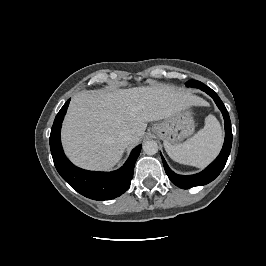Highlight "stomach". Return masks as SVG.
<instances>
[{
	"label": "stomach",
	"mask_w": 266,
	"mask_h": 266,
	"mask_svg": "<svg viewBox=\"0 0 266 266\" xmlns=\"http://www.w3.org/2000/svg\"><path fill=\"white\" fill-rule=\"evenodd\" d=\"M195 123L192 112L185 108L153 125L151 132L171 145H176L193 134Z\"/></svg>",
	"instance_id": "stomach-1"
}]
</instances>
